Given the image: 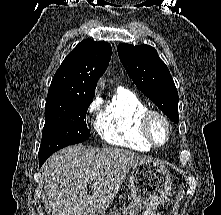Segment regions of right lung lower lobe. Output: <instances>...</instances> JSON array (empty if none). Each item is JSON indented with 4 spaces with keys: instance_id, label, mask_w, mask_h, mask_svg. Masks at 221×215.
Instances as JSON below:
<instances>
[{
    "instance_id": "right-lung-lower-lobe-1",
    "label": "right lung lower lobe",
    "mask_w": 221,
    "mask_h": 215,
    "mask_svg": "<svg viewBox=\"0 0 221 215\" xmlns=\"http://www.w3.org/2000/svg\"><path fill=\"white\" fill-rule=\"evenodd\" d=\"M48 157H44V158H39V166L41 167L42 164L46 161Z\"/></svg>"
}]
</instances>
